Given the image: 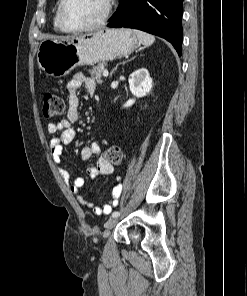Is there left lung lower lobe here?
Returning a JSON list of instances; mask_svg holds the SVG:
<instances>
[{
    "mask_svg": "<svg viewBox=\"0 0 247 296\" xmlns=\"http://www.w3.org/2000/svg\"><path fill=\"white\" fill-rule=\"evenodd\" d=\"M183 0H120L108 27H127L157 35L182 54Z\"/></svg>",
    "mask_w": 247,
    "mask_h": 296,
    "instance_id": "left-lung-lower-lobe-1",
    "label": "left lung lower lobe"
}]
</instances>
